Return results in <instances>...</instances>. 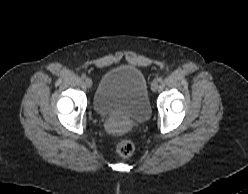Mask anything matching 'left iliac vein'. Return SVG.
<instances>
[{
	"label": "left iliac vein",
	"mask_w": 248,
	"mask_h": 194,
	"mask_svg": "<svg viewBox=\"0 0 248 194\" xmlns=\"http://www.w3.org/2000/svg\"><path fill=\"white\" fill-rule=\"evenodd\" d=\"M158 88H159L158 82H157V81H153L152 84H151V89H152L153 91H157Z\"/></svg>",
	"instance_id": "1"
}]
</instances>
